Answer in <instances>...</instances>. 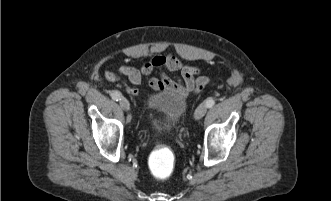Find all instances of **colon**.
Wrapping results in <instances>:
<instances>
[{
  "label": "colon",
  "instance_id": "colon-1",
  "mask_svg": "<svg viewBox=\"0 0 331 201\" xmlns=\"http://www.w3.org/2000/svg\"><path fill=\"white\" fill-rule=\"evenodd\" d=\"M207 83L206 77H200L196 84V91H201ZM174 155L172 151L166 146L156 148L149 159V166L151 173L157 179L168 178L174 169Z\"/></svg>",
  "mask_w": 331,
  "mask_h": 201
}]
</instances>
